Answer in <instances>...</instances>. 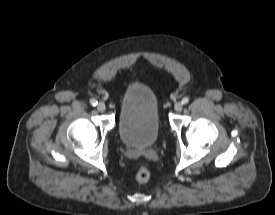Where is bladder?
<instances>
[{
  "label": "bladder",
  "mask_w": 275,
  "mask_h": 215,
  "mask_svg": "<svg viewBox=\"0 0 275 215\" xmlns=\"http://www.w3.org/2000/svg\"><path fill=\"white\" fill-rule=\"evenodd\" d=\"M160 116L155 93L141 83L125 91L119 111L118 132L124 144L135 148L152 146L159 135Z\"/></svg>",
  "instance_id": "1"
}]
</instances>
